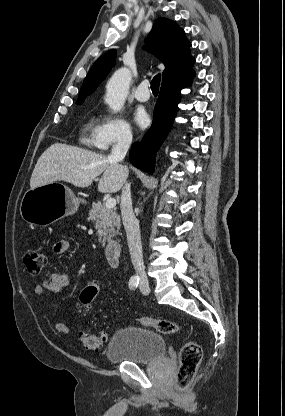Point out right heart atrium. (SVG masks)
Here are the masks:
<instances>
[{
    "label": "right heart atrium",
    "mask_w": 285,
    "mask_h": 416,
    "mask_svg": "<svg viewBox=\"0 0 285 416\" xmlns=\"http://www.w3.org/2000/svg\"><path fill=\"white\" fill-rule=\"evenodd\" d=\"M130 137L128 123L104 110L96 118L86 142L94 149L104 152L127 143Z\"/></svg>",
    "instance_id": "1"
}]
</instances>
